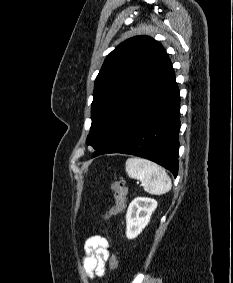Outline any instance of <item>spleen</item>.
Listing matches in <instances>:
<instances>
[{"instance_id": "3e777b00", "label": "spleen", "mask_w": 233, "mask_h": 283, "mask_svg": "<svg viewBox=\"0 0 233 283\" xmlns=\"http://www.w3.org/2000/svg\"><path fill=\"white\" fill-rule=\"evenodd\" d=\"M130 178L140 180L144 190L153 195L169 192L172 182L166 171L157 164L142 158H128L125 165Z\"/></svg>"}]
</instances>
